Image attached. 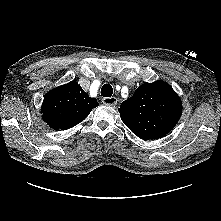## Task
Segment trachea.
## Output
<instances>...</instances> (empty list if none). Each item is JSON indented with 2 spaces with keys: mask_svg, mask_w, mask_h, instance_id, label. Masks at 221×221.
Masks as SVG:
<instances>
[{
  "mask_svg": "<svg viewBox=\"0 0 221 221\" xmlns=\"http://www.w3.org/2000/svg\"><path fill=\"white\" fill-rule=\"evenodd\" d=\"M113 94V88L111 85L109 84H105L102 86L101 88V95L103 97H111Z\"/></svg>",
  "mask_w": 221,
  "mask_h": 221,
  "instance_id": "1",
  "label": "trachea"
}]
</instances>
